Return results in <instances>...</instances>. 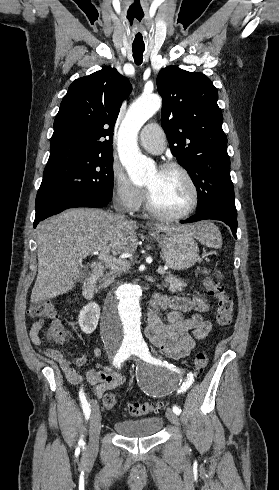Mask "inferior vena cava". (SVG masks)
<instances>
[{"instance_id": "inferior-vena-cava-1", "label": "inferior vena cava", "mask_w": 279, "mask_h": 490, "mask_svg": "<svg viewBox=\"0 0 279 490\" xmlns=\"http://www.w3.org/2000/svg\"><path fill=\"white\" fill-rule=\"evenodd\" d=\"M117 218H120V220H125V216H122V214H116Z\"/></svg>"}]
</instances>
